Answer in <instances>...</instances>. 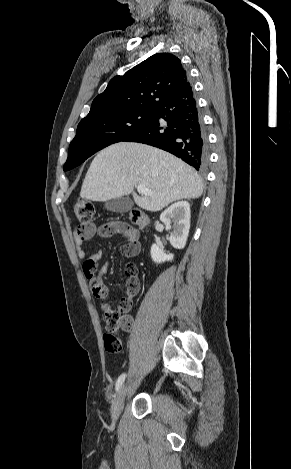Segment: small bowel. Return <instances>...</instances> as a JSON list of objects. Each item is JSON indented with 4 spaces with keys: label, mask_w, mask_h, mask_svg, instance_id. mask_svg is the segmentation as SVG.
<instances>
[{
    "label": "small bowel",
    "mask_w": 291,
    "mask_h": 469,
    "mask_svg": "<svg viewBox=\"0 0 291 469\" xmlns=\"http://www.w3.org/2000/svg\"><path fill=\"white\" fill-rule=\"evenodd\" d=\"M97 232V227L95 224H91L90 232L82 234L79 228H76L74 232V244L76 248V253L79 259L84 260L83 271L85 276L90 281V287L94 296L101 301V309L103 312L107 309H110L111 306L106 302L108 297V288L103 283V276L109 271L110 263L105 261V263L100 267L96 268L95 264L100 261L105 252L103 250L87 256V253L84 249V242L91 238ZM98 232L103 237H109L115 234H120L126 238V245L131 248L129 253H125L128 257L135 256L139 251V243L137 240V231L132 227L128 226L122 222H108L100 226ZM92 265L93 267H90Z\"/></svg>",
    "instance_id": "obj_1"
}]
</instances>
